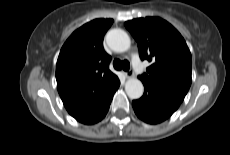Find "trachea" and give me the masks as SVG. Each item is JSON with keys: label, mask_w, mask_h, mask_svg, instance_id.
Returning a JSON list of instances; mask_svg holds the SVG:
<instances>
[{"label": "trachea", "mask_w": 230, "mask_h": 155, "mask_svg": "<svg viewBox=\"0 0 230 155\" xmlns=\"http://www.w3.org/2000/svg\"><path fill=\"white\" fill-rule=\"evenodd\" d=\"M113 67L116 70H124V71H129L130 68V63L127 60H120V59H115L113 61Z\"/></svg>", "instance_id": "1"}]
</instances>
